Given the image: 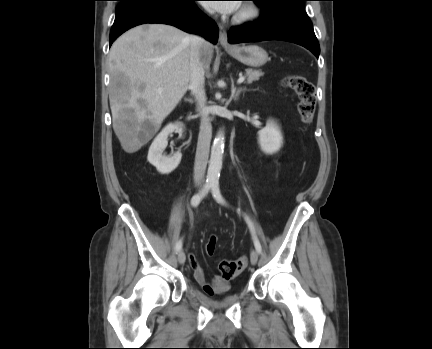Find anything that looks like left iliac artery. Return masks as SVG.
Masks as SVG:
<instances>
[{"mask_svg": "<svg viewBox=\"0 0 432 349\" xmlns=\"http://www.w3.org/2000/svg\"><path fill=\"white\" fill-rule=\"evenodd\" d=\"M212 195H213L214 199L218 203L223 204V205L226 204V201H225V199L223 198V196H222V194L220 192L219 182L218 181H215V182L212 183ZM244 218H245V221L248 224V227H249L250 232L252 234V238H253V241H254L255 249H256V251L259 254H261L262 247H261V244H260V242H259V240H258V238L256 236L254 224H253V222L251 221V219L247 215H245Z\"/></svg>", "mask_w": 432, "mask_h": 349, "instance_id": "left-iliac-artery-1", "label": "left iliac artery"}]
</instances>
